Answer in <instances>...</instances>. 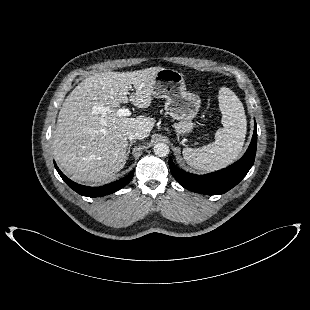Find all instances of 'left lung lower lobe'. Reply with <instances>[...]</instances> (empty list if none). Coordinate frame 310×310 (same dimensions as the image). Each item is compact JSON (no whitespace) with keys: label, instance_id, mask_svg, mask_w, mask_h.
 Masks as SVG:
<instances>
[{"label":"left lung lower lobe","instance_id":"left-lung-lower-lobe-1","mask_svg":"<svg viewBox=\"0 0 310 310\" xmlns=\"http://www.w3.org/2000/svg\"><path fill=\"white\" fill-rule=\"evenodd\" d=\"M257 129L256 122L251 143L243 157L222 170L205 174L195 175L182 171L169 159V167L174 178L186 189L206 194H223L236 186L252 167L256 155Z\"/></svg>","mask_w":310,"mask_h":310}]
</instances>
